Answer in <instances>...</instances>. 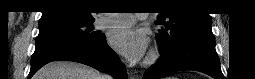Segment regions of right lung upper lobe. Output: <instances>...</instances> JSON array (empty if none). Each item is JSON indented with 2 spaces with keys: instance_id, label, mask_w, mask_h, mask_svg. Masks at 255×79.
I'll return each mask as SVG.
<instances>
[{
  "instance_id": "obj_1",
  "label": "right lung upper lobe",
  "mask_w": 255,
  "mask_h": 79,
  "mask_svg": "<svg viewBox=\"0 0 255 79\" xmlns=\"http://www.w3.org/2000/svg\"><path fill=\"white\" fill-rule=\"evenodd\" d=\"M92 6L91 0H48L45 3L42 17L40 20L72 16L85 21H92L91 16Z\"/></svg>"
}]
</instances>
